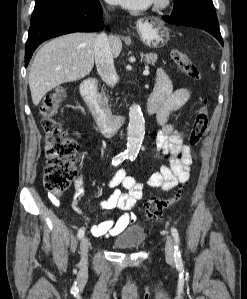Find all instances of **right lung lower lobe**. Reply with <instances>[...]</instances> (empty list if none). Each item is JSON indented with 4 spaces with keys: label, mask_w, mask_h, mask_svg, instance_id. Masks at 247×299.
<instances>
[{
    "label": "right lung lower lobe",
    "mask_w": 247,
    "mask_h": 299,
    "mask_svg": "<svg viewBox=\"0 0 247 299\" xmlns=\"http://www.w3.org/2000/svg\"><path fill=\"white\" fill-rule=\"evenodd\" d=\"M104 28L98 0L58 10L30 24L25 50V67L34 50L44 41L72 32H95ZM107 31H110L106 27Z\"/></svg>",
    "instance_id": "obj_1"
}]
</instances>
